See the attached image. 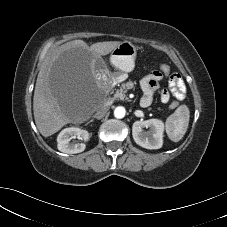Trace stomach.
<instances>
[{"label":"stomach","instance_id":"0dacf381","mask_svg":"<svg viewBox=\"0 0 227 227\" xmlns=\"http://www.w3.org/2000/svg\"><path fill=\"white\" fill-rule=\"evenodd\" d=\"M136 47L128 41L119 44L111 53L110 62L120 73L131 72L135 66Z\"/></svg>","mask_w":227,"mask_h":227}]
</instances>
